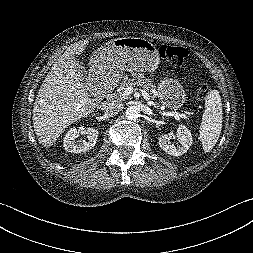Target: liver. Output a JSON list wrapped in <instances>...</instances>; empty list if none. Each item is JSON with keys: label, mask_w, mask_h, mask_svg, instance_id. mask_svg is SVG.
Listing matches in <instances>:
<instances>
[{"label": "liver", "mask_w": 253, "mask_h": 253, "mask_svg": "<svg viewBox=\"0 0 253 253\" xmlns=\"http://www.w3.org/2000/svg\"><path fill=\"white\" fill-rule=\"evenodd\" d=\"M89 40L69 46L45 77L33 107V127L40 144L50 147L72 123L97 106L82 83L80 55Z\"/></svg>", "instance_id": "6515ba94"}]
</instances>
